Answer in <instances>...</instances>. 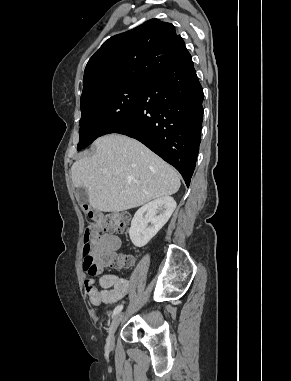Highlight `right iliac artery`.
I'll list each match as a JSON object with an SVG mask.
<instances>
[{
  "label": "right iliac artery",
  "instance_id": "right-iliac-artery-1",
  "mask_svg": "<svg viewBox=\"0 0 291 381\" xmlns=\"http://www.w3.org/2000/svg\"><path fill=\"white\" fill-rule=\"evenodd\" d=\"M123 308V305H118L117 307H115L114 311H113V314L116 315L118 314Z\"/></svg>",
  "mask_w": 291,
  "mask_h": 381
}]
</instances>
